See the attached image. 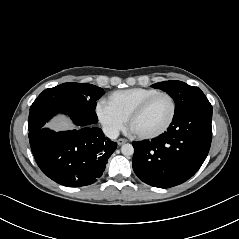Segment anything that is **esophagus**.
<instances>
[{
  "instance_id": "34e87169",
  "label": "esophagus",
  "mask_w": 239,
  "mask_h": 239,
  "mask_svg": "<svg viewBox=\"0 0 239 239\" xmlns=\"http://www.w3.org/2000/svg\"><path fill=\"white\" fill-rule=\"evenodd\" d=\"M126 142H127V140L124 139V138H120V139L117 140V144H118L119 146L125 144Z\"/></svg>"
}]
</instances>
